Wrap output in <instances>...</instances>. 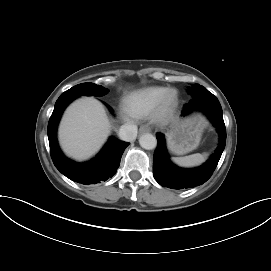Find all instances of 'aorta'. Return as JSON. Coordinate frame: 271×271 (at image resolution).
Wrapping results in <instances>:
<instances>
[{
  "label": "aorta",
  "instance_id": "aorta-1",
  "mask_svg": "<svg viewBox=\"0 0 271 271\" xmlns=\"http://www.w3.org/2000/svg\"><path fill=\"white\" fill-rule=\"evenodd\" d=\"M139 144L146 150H152L157 146V139L150 133H145L140 136Z\"/></svg>",
  "mask_w": 271,
  "mask_h": 271
}]
</instances>
